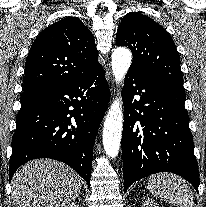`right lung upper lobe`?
I'll return each mask as SVG.
<instances>
[{"instance_id":"right-lung-upper-lobe-1","label":"right lung upper lobe","mask_w":206,"mask_h":207,"mask_svg":"<svg viewBox=\"0 0 206 207\" xmlns=\"http://www.w3.org/2000/svg\"><path fill=\"white\" fill-rule=\"evenodd\" d=\"M99 68L90 30L76 17L60 20L43 30L25 63L24 92L69 83Z\"/></svg>"}]
</instances>
